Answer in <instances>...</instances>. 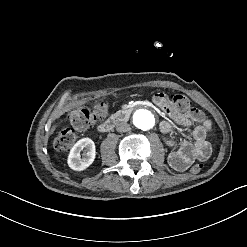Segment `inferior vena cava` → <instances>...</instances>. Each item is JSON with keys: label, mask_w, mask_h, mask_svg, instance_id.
<instances>
[{"label": "inferior vena cava", "mask_w": 247, "mask_h": 247, "mask_svg": "<svg viewBox=\"0 0 247 247\" xmlns=\"http://www.w3.org/2000/svg\"><path fill=\"white\" fill-rule=\"evenodd\" d=\"M130 130V125L126 122H119L116 125V131L119 133L127 132Z\"/></svg>", "instance_id": "inferior-vena-cava-1"}]
</instances>
